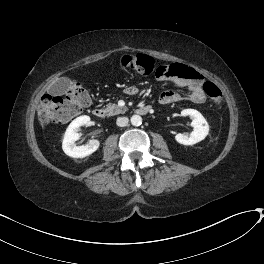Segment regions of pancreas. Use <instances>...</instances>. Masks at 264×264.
I'll return each instance as SVG.
<instances>
[{
  "mask_svg": "<svg viewBox=\"0 0 264 264\" xmlns=\"http://www.w3.org/2000/svg\"><path fill=\"white\" fill-rule=\"evenodd\" d=\"M104 111H105L107 116H113V115L123 113L125 111V109L120 108L116 104H108V105H106V108L104 109Z\"/></svg>",
  "mask_w": 264,
  "mask_h": 264,
  "instance_id": "pancreas-1",
  "label": "pancreas"
}]
</instances>
